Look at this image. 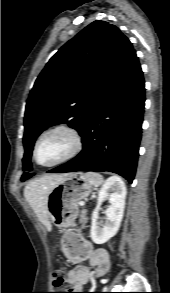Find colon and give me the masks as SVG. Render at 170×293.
<instances>
[{
    "label": "colon",
    "mask_w": 170,
    "mask_h": 293,
    "mask_svg": "<svg viewBox=\"0 0 170 293\" xmlns=\"http://www.w3.org/2000/svg\"><path fill=\"white\" fill-rule=\"evenodd\" d=\"M64 276H65V272L63 270H58L54 273L53 286L58 291H61V292H55V293H68L66 291L70 290L65 282Z\"/></svg>",
    "instance_id": "colon-1"
}]
</instances>
